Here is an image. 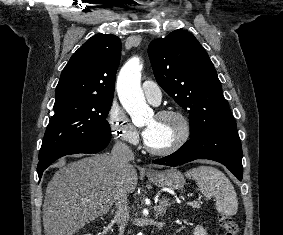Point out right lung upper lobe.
Here are the masks:
<instances>
[{
  "instance_id": "right-lung-upper-lobe-1",
  "label": "right lung upper lobe",
  "mask_w": 283,
  "mask_h": 235,
  "mask_svg": "<svg viewBox=\"0 0 283 235\" xmlns=\"http://www.w3.org/2000/svg\"><path fill=\"white\" fill-rule=\"evenodd\" d=\"M121 41L113 34L88 39L70 58L55 90V103L73 97L113 98Z\"/></svg>"
}]
</instances>
